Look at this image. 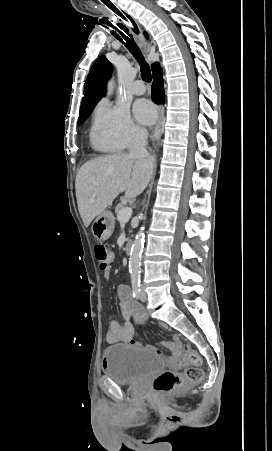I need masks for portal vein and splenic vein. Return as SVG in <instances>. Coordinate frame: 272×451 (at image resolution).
<instances>
[{
    "mask_svg": "<svg viewBox=\"0 0 272 451\" xmlns=\"http://www.w3.org/2000/svg\"><path fill=\"white\" fill-rule=\"evenodd\" d=\"M131 216H132V208H125V210H121V212H119L117 216L118 222H120V224H126V222L130 220Z\"/></svg>",
    "mask_w": 272,
    "mask_h": 451,
    "instance_id": "portal-vein-and-splenic-vein-1",
    "label": "portal vein and splenic vein"
}]
</instances>
